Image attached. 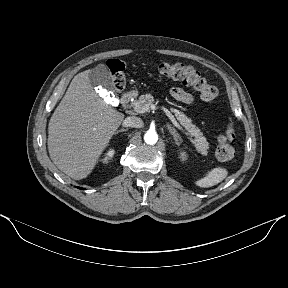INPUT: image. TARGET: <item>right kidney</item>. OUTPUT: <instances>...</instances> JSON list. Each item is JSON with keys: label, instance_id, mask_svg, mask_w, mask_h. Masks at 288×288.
<instances>
[{"label": "right kidney", "instance_id": "1", "mask_svg": "<svg viewBox=\"0 0 288 288\" xmlns=\"http://www.w3.org/2000/svg\"><path fill=\"white\" fill-rule=\"evenodd\" d=\"M114 153H115L114 149H110V150L106 153V156L102 159L103 163H107L108 160L113 157Z\"/></svg>", "mask_w": 288, "mask_h": 288}]
</instances>
